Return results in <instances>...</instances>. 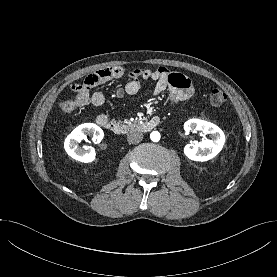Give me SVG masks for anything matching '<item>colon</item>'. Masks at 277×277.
I'll list each match as a JSON object with an SVG mask.
<instances>
[{
  "label": "colon",
  "mask_w": 277,
  "mask_h": 277,
  "mask_svg": "<svg viewBox=\"0 0 277 277\" xmlns=\"http://www.w3.org/2000/svg\"><path fill=\"white\" fill-rule=\"evenodd\" d=\"M226 94L219 89L213 90L209 95V102L215 107H221L226 103ZM76 102L72 100H64L60 103V109L64 114H71L76 109Z\"/></svg>",
  "instance_id": "1"
}]
</instances>
